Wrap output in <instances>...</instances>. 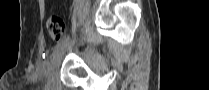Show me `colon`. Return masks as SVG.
I'll return each instance as SVG.
<instances>
[{
    "instance_id": "1",
    "label": "colon",
    "mask_w": 209,
    "mask_h": 90,
    "mask_svg": "<svg viewBox=\"0 0 209 90\" xmlns=\"http://www.w3.org/2000/svg\"><path fill=\"white\" fill-rule=\"evenodd\" d=\"M47 28L50 36L55 40H59L64 35L65 22L62 17L58 15H52L47 21Z\"/></svg>"
}]
</instances>
